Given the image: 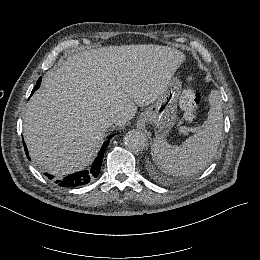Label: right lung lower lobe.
Listing matches in <instances>:
<instances>
[{
  "label": "right lung lower lobe",
  "instance_id": "98d812e1",
  "mask_svg": "<svg viewBox=\"0 0 260 260\" xmlns=\"http://www.w3.org/2000/svg\"><path fill=\"white\" fill-rule=\"evenodd\" d=\"M40 83H41V77L38 79V82H37L36 86L34 87L31 95L34 93L35 90H37L39 88ZM110 138H112V136H110ZM110 138L104 142V144L101 147V150L98 154V157L95 159L92 167L89 170L76 172V173L68 175L64 178L56 179L55 183L60 187L74 188V187L83 186V185L89 183L93 178H96L100 172L103 155H104V152H105L107 146L109 145ZM24 149H25L27 158L30 160L25 143H24ZM44 175L46 177H48L49 179L54 178V176H52L48 173H44Z\"/></svg>",
  "mask_w": 260,
  "mask_h": 260
}]
</instances>
